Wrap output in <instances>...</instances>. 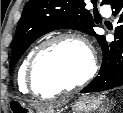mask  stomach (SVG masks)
Instances as JSON below:
<instances>
[{"mask_svg":"<svg viewBox=\"0 0 123 113\" xmlns=\"http://www.w3.org/2000/svg\"><path fill=\"white\" fill-rule=\"evenodd\" d=\"M103 96L84 95L81 96L72 104V110L74 113H92L96 111L103 103ZM12 103V110L21 113H33L23 102L14 100ZM37 113H56L54 109H47Z\"/></svg>","mask_w":123,"mask_h":113,"instance_id":"obj_1","label":"stomach"}]
</instances>
